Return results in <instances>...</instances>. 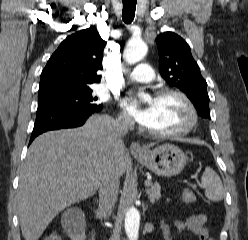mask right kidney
<instances>
[{
    "label": "right kidney",
    "instance_id": "ca27d5eb",
    "mask_svg": "<svg viewBox=\"0 0 248 240\" xmlns=\"http://www.w3.org/2000/svg\"><path fill=\"white\" fill-rule=\"evenodd\" d=\"M67 234L71 240H85L86 238L85 231L83 229L68 231Z\"/></svg>",
    "mask_w": 248,
    "mask_h": 240
}]
</instances>
